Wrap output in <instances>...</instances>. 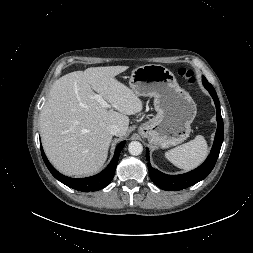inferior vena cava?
<instances>
[{"instance_id":"602c4592","label":"inferior vena cava","mask_w":253,"mask_h":253,"mask_svg":"<svg viewBox=\"0 0 253 253\" xmlns=\"http://www.w3.org/2000/svg\"><path fill=\"white\" fill-rule=\"evenodd\" d=\"M107 131L109 132V134L111 135H118L120 132V128L118 125H111L107 128Z\"/></svg>"}]
</instances>
